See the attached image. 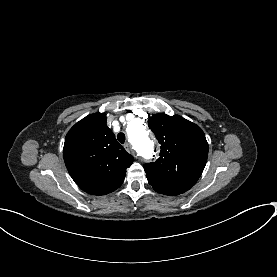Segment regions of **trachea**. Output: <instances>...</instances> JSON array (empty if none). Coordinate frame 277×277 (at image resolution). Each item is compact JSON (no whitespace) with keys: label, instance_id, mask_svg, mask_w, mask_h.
<instances>
[{"label":"trachea","instance_id":"3493384b","mask_svg":"<svg viewBox=\"0 0 277 277\" xmlns=\"http://www.w3.org/2000/svg\"><path fill=\"white\" fill-rule=\"evenodd\" d=\"M117 139H118V141L121 143V144H124V142H125V140H126V136H125V134L124 133H119L118 135H117Z\"/></svg>","mask_w":277,"mask_h":277}]
</instances>
